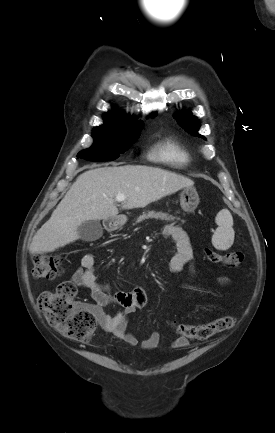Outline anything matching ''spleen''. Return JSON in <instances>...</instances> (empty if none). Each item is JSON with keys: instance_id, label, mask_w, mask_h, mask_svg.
I'll return each instance as SVG.
<instances>
[{"instance_id": "obj_1", "label": "spleen", "mask_w": 275, "mask_h": 433, "mask_svg": "<svg viewBox=\"0 0 275 433\" xmlns=\"http://www.w3.org/2000/svg\"><path fill=\"white\" fill-rule=\"evenodd\" d=\"M215 222L218 228L212 236V244L217 250H227L234 242L233 218L229 210L219 211Z\"/></svg>"}]
</instances>
